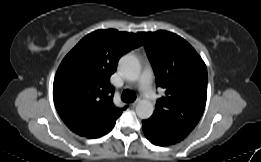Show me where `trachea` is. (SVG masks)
Segmentation results:
<instances>
[{
  "instance_id": "1",
  "label": "trachea",
  "mask_w": 261,
  "mask_h": 162,
  "mask_svg": "<svg viewBox=\"0 0 261 162\" xmlns=\"http://www.w3.org/2000/svg\"><path fill=\"white\" fill-rule=\"evenodd\" d=\"M122 100L125 102H134L136 100V95L132 91L124 90L122 93Z\"/></svg>"
}]
</instances>
